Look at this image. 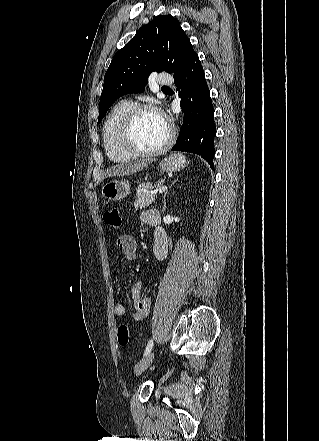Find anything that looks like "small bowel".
<instances>
[{
  "label": "small bowel",
  "instance_id": "1",
  "mask_svg": "<svg viewBox=\"0 0 319 441\" xmlns=\"http://www.w3.org/2000/svg\"><path fill=\"white\" fill-rule=\"evenodd\" d=\"M140 219L143 223L154 229L153 253L157 260H164L168 252V238L164 228L160 225L161 216L155 209L144 210ZM118 250L130 261L137 257L138 246L136 240L128 234L121 235L116 240ZM142 283L137 281L130 286V293L134 305L131 318L134 321H142L149 313L151 300L149 297L141 295ZM114 314L117 317L126 315V307L123 304L114 306Z\"/></svg>",
  "mask_w": 319,
  "mask_h": 441
}]
</instances>
